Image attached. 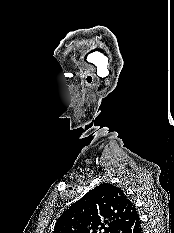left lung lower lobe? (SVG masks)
I'll return each mask as SVG.
<instances>
[{
    "instance_id": "1",
    "label": "left lung lower lobe",
    "mask_w": 174,
    "mask_h": 233,
    "mask_svg": "<svg viewBox=\"0 0 174 233\" xmlns=\"http://www.w3.org/2000/svg\"><path fill=\"white\" fill-rule=\"evenodd\" d=\"M119 233H143L141 220L136 214L129 222H127L119 231Z\"/></svg>"
}]
</instances>
